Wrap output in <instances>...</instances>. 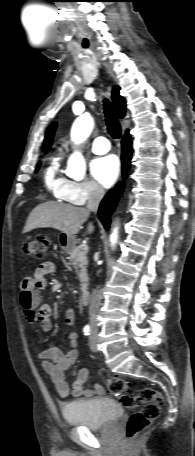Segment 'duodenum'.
<instances>
[{
	"label": "duodenum",
	"mask_w": 195,
	"mask_h": 456,
	"mask_svg": "<svg viewBox=\"0 0 195 456\" xmlns=\"http://www.w3.org/2000/svg\"><path fill=\"white\" fill-rule=\"evenodd\" d=\"M81 301L84 304H88L90 301V292L87 289L81 291Z\"/></svg>",
	"instance_id": "duodenum-1"
}]
</instances>
